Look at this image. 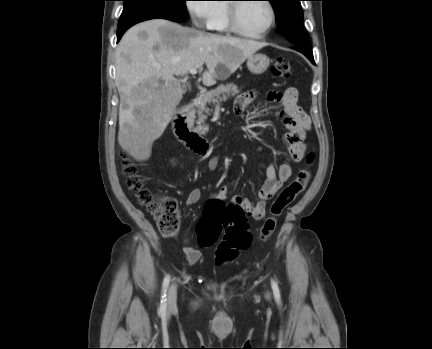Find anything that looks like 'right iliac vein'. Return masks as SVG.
Returning a JSON list of instances; mask_svg holds the SVG:
<instances>
[{
    "mask_svg": "<svg viewBox=\"0 0 432 349\" xmlns=\"http://www.w3.org/2000/svg\"><path fill=\"white\" fill-rule=\"evenodd\" d=\"M176 300H177V287L175 283H172L168 289V300H167L168 309H173L176 306Z\"/></svg>",
    "mask_w": 432,
    "mask_h": 349,
    "instance_id": "63e3f726",
    "label": "right iliac vein"
}]
</instances>
